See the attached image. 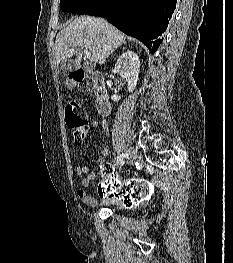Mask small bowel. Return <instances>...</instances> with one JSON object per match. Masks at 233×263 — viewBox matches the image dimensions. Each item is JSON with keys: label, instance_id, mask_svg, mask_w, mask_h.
I'll return each instance as SVG.
<instances>
[{"label": "small bowel", "instance_id": "1", "mask_svg": "<svg viewBox=\"0 0 233 263\" xmlns=\"http://www.w3.org/2000/svg\"><path fill=\"white\" fill-rule=\"evenodd\" d=\"M92 127L102 128L106 134H108V126L107 122L104 120H94L92 122ZM102 155H106L108 153V147H104L101 151ZM97 163L99 166L100 171H104L105 169L108 171H114L112 166L108 164L103 157H99L97 159ZM77 174L80 177L81 185L83 188H87L90 186L92 181H94L97 177V171H92L88 166H80L77 167ZM116 175V174H115ZM78 198L85 203L88 206L95 207L99 205H104L107 203H114L117 208L122 209L123 208V202H114L113 199H108V195H99L103 200L98 201L93 196L89 195L84 189H80L77 191Z\"/></svg>", "mask_w": 233, "mask_h": 263}]
</instances>
